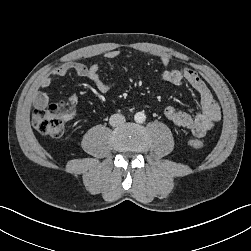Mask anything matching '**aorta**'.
<instances>
[{"label": "aorta", "mask_w": 251, "mask_h": 251, "mask_svg": "<svg viewBox=\"0 0 251 251\" xmlns=\"http://www.w3.org/2000/svg\"><path fill=\"white\" fill-rule=\"evenodd\" d=\"M134 120L137 123H143L146 120V115L143 112H137L134 115Z\"/></svg>", "instance_id": "1"}]
</instances>
